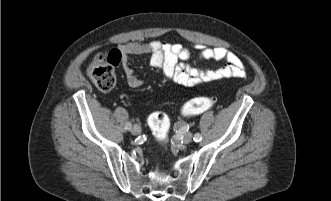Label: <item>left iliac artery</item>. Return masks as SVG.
<instances>
[{"label": "left iliac artery", "instance_id": "obj_1", "mask_svg": "<svg viewBox=\"0 0 331 201\" xmlns=\"http://www.w3.org/2000/svg\"><path fill=\"white\" fill-rule=\"evenodd\" d=\"M193 140H194L195 142H199V141L202 140V136H201L199 133H196V134L194 135V137H193Z\"/></svg>", "mask_w": 331, "mask_h": 201}]
</instances>
